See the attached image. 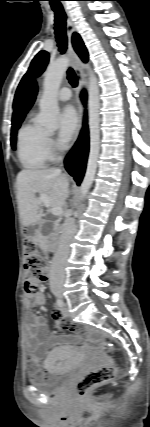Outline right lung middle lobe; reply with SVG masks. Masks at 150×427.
I'll use <instances>...</instances> for the list:
<instances>
[{
	"instance_id": "right-lung-middle-lobe-1",
	"label": "right lung middle lobe",
	"mask_w": 150,
	"mask_h": 427,
	"mask_svg": "<svg viewBox=\"0 0 150 427\" xmlns=\"http://www.w3.org/2000/svg\"><path fill=\"white\" fill-rule=\"evenodd\" d=\"M21 123H22V121L12 124V129H11V145H12V148H15L16 133H17V130L19 129Z\"/></svg>"
}]
</instances>
